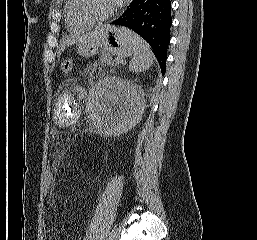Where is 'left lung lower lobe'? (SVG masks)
<instances>
[{
  "mask_svg": "<svg viewBox=\"0 0 257 240\" xmlns=\"http://www.w3.org/2000/svg\"><path fill=\"white\" fill-rule=\"evenodd\" d=\"M111 24L128 27L142 36L152 47L162 74L165 73L172 24L171 0H133Z\"/></svg>",
  "mask_w": 257,
  "mask_h": 240,
  "instance_id": "left-lung-lower-lobe-1",
  "label": "left lung lower lobe"
}]
</instances>
